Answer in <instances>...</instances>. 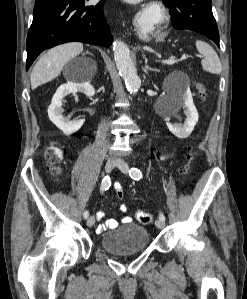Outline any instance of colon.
<instances>
[{
  "mask_svg": "<svg viewBox=\"0 0 247 299\" xmlns=\"http://www.w3.org/2000/svg\"><path fill=\"white\" fill-rule=\"evenodd\" d=\"M198 91L202 97L205 96V88L201 83L197 84ZM45 158L48 162V169L52 175H58L60 173V167L59 163L62 159V151L59 147H57L54 144L49 145L45 152ZM192 161H193V153L192 151H189L187 154V162L182 168V173L183 174H188L189 171L191 170L192 167ZM117 193L122 192L121 185L119 184L118 187L116 188ZM136 219L138 220L139 223L147 225L152 222V215L148 212L145 211H138L136 213Z\"/></svg>",
  "mask_w": 247,
  "mask_h": 299,
  "instance_id": "5ec220e1",
  "label": "colon"
}]
</instances>
